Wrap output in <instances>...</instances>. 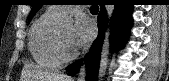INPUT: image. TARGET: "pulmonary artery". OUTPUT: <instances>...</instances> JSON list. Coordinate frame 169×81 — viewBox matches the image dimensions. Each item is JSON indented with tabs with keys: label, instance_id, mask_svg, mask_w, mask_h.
<instances>
[{
	"label": "pulmonary artery",
	"instance_id": "pulmonary-artery-1",
	"mask_svg": "<svg viewBox=\"0 0 169 81\" xmlns=\"http://www.w3.org/2000/svg\"><path fill=\"white\" fill-rule=\"evenodd\" d=\"M51 8L56 10L57 12H59L61 14L66 12L67 10H69V7H67V6H53Z\"/></svg>",
	"mask_w": 169,
	"mask_h": 81
}]
</instances>
